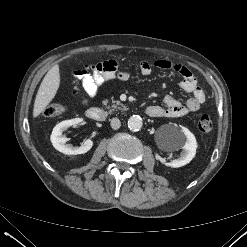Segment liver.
<instances>
[{
  "mask_svg": "<svg viewBox=\"0 0 247 247\" xmlns=\"http://www.w3.org/2000/svg\"><path fill=\"white\" fill-rule=\"evenodd\" d=\"M60 85V74L59 66L56 64L49 69L45 77L43 78L40 87L38 89L34 108H33V117L36 118L39 116L47 107V105L55 97L57 90Z\"/></svg>",
  "mask_w": 247,
  "mask_h": 247,
  "instance_id": "liver-1",
  "label": "liver"
}]
</instances>
